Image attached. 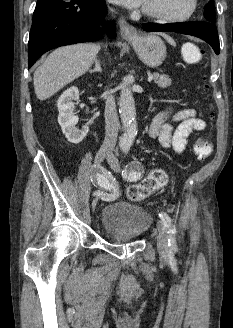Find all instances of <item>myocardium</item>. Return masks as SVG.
Listing matches in <instances>:
<instances>
[{"label":"myocardium","instance_id":"myocardium-1","mask_svg":"<svg viewBox=\"0 0 233 328\" xmlns=\"http://www.w3.org/2000/svg\"><path fill=\"white\" fill-rule=\"evenodd\" d=\"M197 9H198V0H190L188 10L184 14L179 15V16H170V15H165V14H161V13H157V12H152L145 8L142 9V13L147 18H150L157 22L181 23V22H186V21L190 20L197 12Z\"/></svg>","mask_w":233,"mask_h":328}]
</instances>
